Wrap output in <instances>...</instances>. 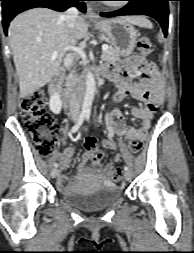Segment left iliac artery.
<instances>
[{
    "mask_svg": "<svg viewBox=\"0 0 194 253\" xmlns=\"http://www.w3.org/2000/svg\"><path fill=\"white\" fill-rule=\"evenodd\" d=\"M86 118H87V120H89V118H90V113H88V115H87V117H86ZM124 170H125V171H128V170H129V168H128L127 166H124Z\"/></svg>",
    "mask_w": 194,
    "mask_h": 253,
    "instance_id": "left-iliac-artery-1",
    "label": "left iliac artery"
}]
</instances>
